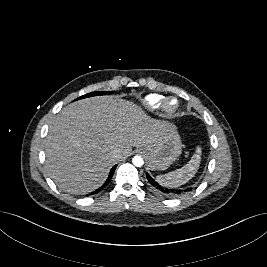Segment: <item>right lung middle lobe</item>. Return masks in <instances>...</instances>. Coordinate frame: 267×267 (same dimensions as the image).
Masks as SVG:
<instances>
[{"label": "right lung middle lobe", "instance_id": "right-lung-middle-lobe-1", "mask_svg": "<svg viewBox=\"0 0 267 267\" xmlns=\"http://www.w3.org/2000/svg\"><path fill=\"white\" fill-rule=\"evenodd\" d=\"M111 93H113V91H97V92H91V93L85 94V95L77 98L76 100L87 98V97H92V96H98V95H107V94H111Z\"/></svg>", "mask_w": 267, "mask_h": 267}]
</instances>
